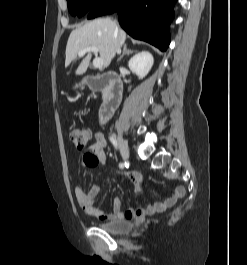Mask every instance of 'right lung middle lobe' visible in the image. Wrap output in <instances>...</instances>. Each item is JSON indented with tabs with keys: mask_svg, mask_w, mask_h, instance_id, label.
<instances>
[{
	"mask_svg": "<svg viewBox=\"0 0 247 265\" xmlns=\"http://www.w3.org/2000/svg\"><path fill=\"white\" fill-rule=\"evenodd\" d=\"M104 1L106 0H67L68 10L71 15L81 17Z\"/></svg>",
	"mask_w": 247,
	"mask_h": 265,
	"instance_id": "obj_1",
	"label": "right lung middle lobe"
}]
</instances>
